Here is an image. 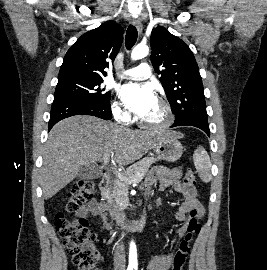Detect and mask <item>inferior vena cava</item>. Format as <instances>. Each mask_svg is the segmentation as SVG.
<instances>
[{
    "mask_svg": "<svg viewBox=\"0 0 267 270\" xmlns=\"http://www.w3.org/2000/svg\"><path fill=\"white\" fill-rule=\"evenodd\" d=\"M122 238L119 239L118 247H117V253H116V261L122 265H125V251H124V245L121 243Z\"/></svg>",
    "mask_w": 267,
    "mask_h": 270,
    "instance_id": "602c4592",
    "label": "inferior vena cava"
}]
</instances>
